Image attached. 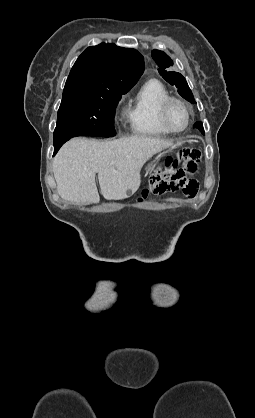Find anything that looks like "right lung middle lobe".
Here are the masks:
<instances>
[{
    "label": "right lung middle lobe",
    "mask_w": 255,
    "mask_h": 418,
    "mask_svg": "<svg viewBox=\"0 0 255 418\" xmlns=\"http://www.w3.org/2000/svg\"><path fill=\"white\" fill-rule=\"evenodd\" d=\"M128 90L64 87L54 142L76 136L112 137L115 108Z\"/></svg>",
    "instance_id": "obj_1"
}]
</instances>
